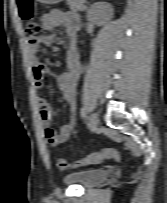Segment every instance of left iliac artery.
I'll return each instance as SVG.
<instances>
[{"mask_svg":"<svg viewBox=\"0 0 167 203\" xmlns=\"http://www.w3.org/2000/svg\"><path fill=\"white\" fill-rule=\"evenodd\" d=\"M80 115H81L82 118L86 117V108L85 107L81 108Z\"/></svg>","mask_w":167,"mask_h":203,"instance_id":"44dca946","label":"left iliac artery"}]
</instances>
